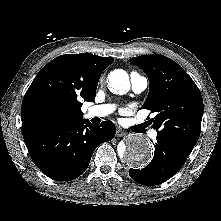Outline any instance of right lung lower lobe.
<instances>
[{"mask_svg":"<svg viewBox=\"0 0 221 221\" xmlns=\"http://www.w3.org/2000/svg\"><path fill=\"white\" fill-rule=\"evenodd\" d=\"M111 121L96 126L89 121L52 127L24 136L30 156L49 178L71 181L88 167L94 150L114 138Z\"/></svg>","mask_w":221,"mask_h":221,"instance_id":"right-lung-lower-lobe-1","label":"right lung lower lobe"}]
</instances>
